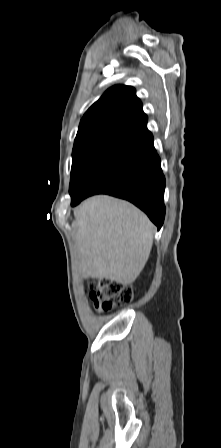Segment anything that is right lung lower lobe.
<instances>
[{
  "mask_svg": "<svg viewBox=\"0 0 221 448\" xmlns=\"http://www.w3.org/2000/svg\"><path fill=\"white\" fill-rule=\"evenodd\" d=\"M165 177L147 127L114 146L80 188L71 206L95 194L126 199L161 228L165 217Z\"/></svg>",
  "mask_w": 221,
  "mask_h": 448,
  "instance_id": "right-lung-lower-lobe-1",
  "label": "right lung lower lobe"
}]
</instances>
